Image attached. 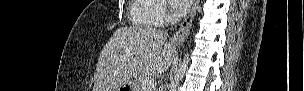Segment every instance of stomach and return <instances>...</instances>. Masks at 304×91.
I'll list each match as a JSON object with an SVG mask.
<instances>
[{
	"instance_id": "obj_1",
	"label": "stomach",
	"mask_w": 304,
	"mask_h": 91,
	"mask_svg": "<svg viewBox=\"0 0 304 91\" xmlns=\"http://www.w3.org/2000/svg\"><path fill=\"white\" fill-rule=\"evenodd\" d=\"M121 90H128V91H134V88L128 84H124L123 86H121L118 91H121Z\"/></svg>"
}]
</instances>
